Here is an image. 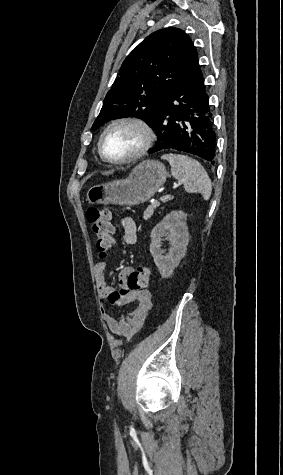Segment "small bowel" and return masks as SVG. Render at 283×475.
<instances>
[{
	"label": "small bowel",
	"instance_id": "1",
	"mask_svg": "<svg viewBox=\"0 0 283 475\" xmlns=\"http://www.w3.org/2000/svg\"><path fill=\"white\" fill-rule=\"evenodd\" d=\"M122 240L126 245H134L138 239L137 225L132 217L121 219ZM130 267H124L119 272V281L127 279ZM106 263L97 262L93 268L95 287L101 309V315L107 324L110 332L116 336L130 339L143 326L148 313L152 308L151 292L141 291L140 296H121L119 289H115L108 284L105 277ZM135 302L136 307L129 313L119 317L112 316L108 310V305H125Z\"/></svg>",
	"mask_w": 283,
	"mask_h": 475
}]
</instances>
